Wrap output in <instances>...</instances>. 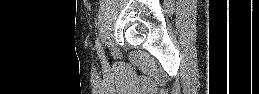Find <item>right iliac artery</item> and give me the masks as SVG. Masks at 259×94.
Wrapping results in <instances>:
<instances>
[{
    "instance_id": "82829eb1",
    "label": "right iliac artery",
    "mask_w": 259,
    "mask_h": 94,
    "mask_svg": "<svg viewBox=\"0 0 259 94\" xmlns=\"http://www.w3.org/2000/svg\"><path fill=\"white\" fill-rule=\"evenodd\" d=\"M96 48H97L98 55H99V58L101 60V63L103 65H105L106 64V58H105L104 52L102 50V47L100 45L99 38H97V40H96Z\"/></svg>"
}]
</instances>
